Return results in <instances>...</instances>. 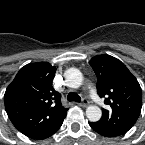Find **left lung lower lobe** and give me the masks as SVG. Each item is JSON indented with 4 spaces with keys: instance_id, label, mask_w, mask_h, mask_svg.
<instances>
[{
    "instance_id": "0a47b994",
    "label": "left lung lower lobe",
    "mask_w": 145,
    "mask_h": 145,
    "mask_svg": "<svg viewBox=\"0 0 145 145\" xmlns=\"http://www.w3.org/2000/svg\"><path fill=\"white\" fill-rule=\"evenodd\" d=\"M89 125L91 126V128L96 131L98 134L104 136V137H115L114 135H112L111 133H108L106 131L101 130L100 128H98L97 126H95L93 123H89Z\"/></svg>"
}]
</instances>
